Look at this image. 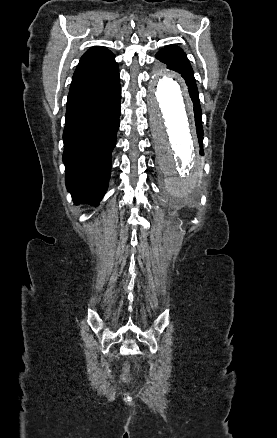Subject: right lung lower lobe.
I'll return each mask as SVG.
<instances>
[{"instance_id":"1","label":"right lung lower lobe","mask_w":277,"mask_h":438,"mask_svg":"<svg viewBox=\"0 0 277 438\" xmlns=\"http://www.w3.org/2000/svg\"><path fill=\"white\" fill-rule=\"evenodd\" d=\"M119 69L71 88L63 132L66 187L75 204L98 205L108 188L121 114Z\"/></svg>"}]
</instances>
